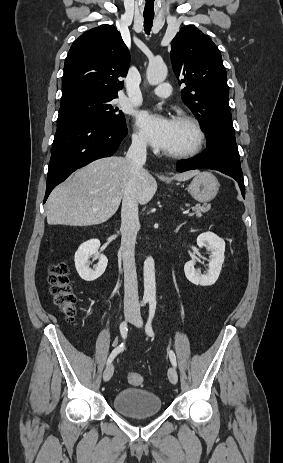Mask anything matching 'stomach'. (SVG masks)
Wrapping results in <instances>:
<instances>
[{
	"label": "stomach",
	"instance_id": "obj_1",
	"mask_svg": "<svg viewBox=\"0 0 283 463\" xmlns=\"http://www.w3.org/2000/svg\"><path fill=\"white\" fill-rule=\"evenodd\" d=\"M220 184L217 178L210 172H199L188 185L190 195L199 202H209L215 198Z\"/></svg>",
	"mask_w": 283,
	"mask_h": 463
}]
</instances>
